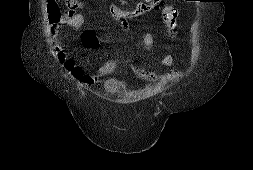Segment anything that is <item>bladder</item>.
Here are the masks:
<instances>
[{
    "mask_svg": "<svg viewBox=\"0 0 253 170\" xmlns=\"http://www.w3.org/2000/svg\"><path fill=\"white\" fill-rule=\"evenodd\" d=\"M104 89L107 93L116 95L121 89V81L118 78H110L105 82Z\"/></svg>",
    "mask_w": 253,
    "mask_h": 170,
    "instance_id": "1",
    "label": "bladder"
}]
</instances>
